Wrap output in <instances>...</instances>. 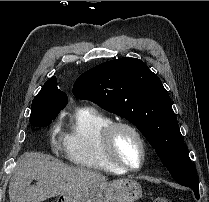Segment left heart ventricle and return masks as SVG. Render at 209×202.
<instances>
[{
  "label": "left heart ventricle",
  "instance_id": "obj_1",
  "mask_svg": "<svg viewBox=\"0 0 209 202\" xmlns=\"http://www.w3.org/2000/svg\"><path fill=\"white\" fill-rule=\"evenodd\" d=\"M113 150L120 160L138 166L141 162V147L137 138L129 131L118 130L113 137Z\"/></svg>",
  "mask_w": 209,
  "mask_h": 202
}]
</instances>
